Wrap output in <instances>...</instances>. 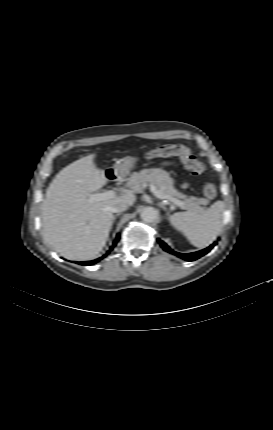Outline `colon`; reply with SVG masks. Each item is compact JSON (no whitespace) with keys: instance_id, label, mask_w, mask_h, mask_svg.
Listing matches in <instances>:
<instances>
[{"instance_id":"colon-1","label":"colon","mask_w":273,"mask_h":430,"mask_svg":"<svg viewBox=\"0 0 273 430\" xmlns=\"http://www.w3.org/2000/svg\"><path fill=\"white\" fill-rule=\"evenodd\" d=\"M157 156H178L183 165L195 175L203 174L206 171L204 164L184 145H163L147 154L148 158ZM202 193L207 199L215 198L217 194L216 185L212 182H205L202 186Z\"/></svg>"}]
</instances>
